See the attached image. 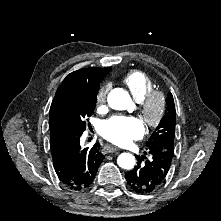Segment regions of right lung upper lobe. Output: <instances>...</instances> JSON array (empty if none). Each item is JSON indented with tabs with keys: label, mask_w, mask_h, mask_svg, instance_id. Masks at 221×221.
<instances>
[{
	"label": "right lung upper lobe",
	"mask_w": 221,
	"mask_h": 221,
	"mask_svg": "<svg viewBox=\"0 0 221 221\" xmlns=\"http://www.w3.org/2000/svg\"><path fill=\"white\" fill-rule=\"evenodd\" d=\"M111 67L83 68L70 73L62 82L52 101L49 113L50 131L53 132L64 125V117L60 105V96L63 92L71 89H84L90 93L96 94L99 89V83L102 77L109 73ZM54 140V138H53ZM55 141V140H54Z\"/></svg>",
	"instance_id": "right-lung-upper-lobe-1"
}]
</instances>
